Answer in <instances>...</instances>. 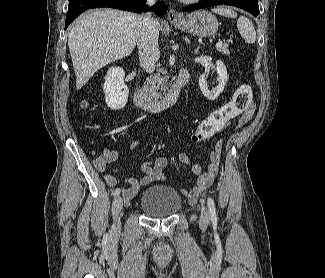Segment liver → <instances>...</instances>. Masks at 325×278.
Masks as SVG:
<instances>
[{
  "label": "liver",
  "instance_id": "1",
  "mask_svg": "<svg viewBox=\"0 0 325 278\" xmlns=\"http://www.w3.org/2000/svg\"><path fill=\"white\" fill-rule=\"evenodd\" d=\"M142 18L116 9H96L83 14L70 26L68 46L77 90L96 71L132 53L139 38Z\"/></svg>",
  "mask_w": 325,
  "mask_h": 278
}]
</instances>
